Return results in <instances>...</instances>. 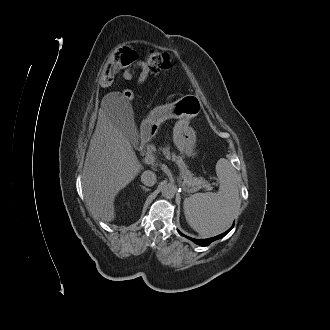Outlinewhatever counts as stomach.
<instances>
[{
	"label": "stomach",
	"instance_id": "obj_1",
	"mask_svg": "<svg viewBox=\"0 0 330 330\" xmlns=\"http://www.w3.org/2000/svg\"><path fill=\"white\" fill-rule=\"evenodd\" d=\"M202 109L201 100L196 95L188 94L166 106L161 112L168 118L179 119L173 129V141L182 153H189L196 143V134L194 129L189 126V121L198 116ZM158 114L159 112H156L148 122L147 131H152V126L157 125Z\"/></svg>",
	"mask_w": 330,
	"mask_h": 330
}]
</instances>
